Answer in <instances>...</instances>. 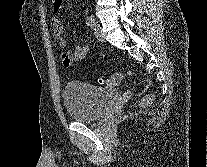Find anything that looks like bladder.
<instances>
[{
	"instance_id": "obj_1",
	"label": "bladder",
	"mask_w": 207,
	"mask_h": 167,
	"mask_svg": "<svg viewBox=\"0 0 207 167\" xmlns=\"http://www.w3.org/2000/svg\"><path fill=\"white\" fill-rule=\"evenodd\" d=\"M118 93L107 87L70 81L63 89V102L70 119L89 123L99 120L116 100Z\"/></svg>"
}]
</instances>
